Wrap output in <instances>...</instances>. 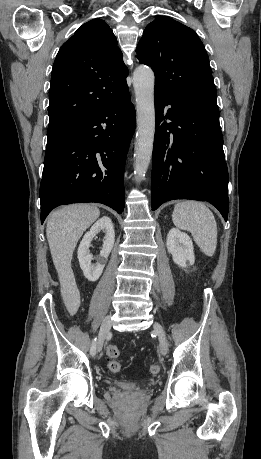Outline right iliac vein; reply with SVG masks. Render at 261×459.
I'll return each mask as SVG.
<instances>
[{"mask_svg":"<svg viewBox=\"0 0 261 459\" xmlns=\"http://www.w3.org/2000/svg\"><path fill=\"white\" fill-rule=\"evenodd\" d=\"M110 328H111V319L110 317H107L103 320L101 327H100L99 336H98L97 345H96L98 352L102 350L106 335L109 332Z\"/></svg>","mask_w":261,"mask_h":459,"instance_id":"63e3f726","label":"right iliac vein"}]
</instances>
